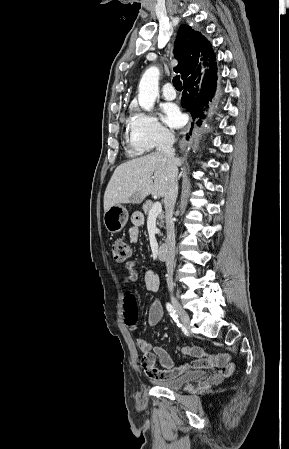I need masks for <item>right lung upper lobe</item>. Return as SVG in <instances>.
<instances>
[{
  "mask_svg": "<svg viewBox=\"0 0 289 449\" xmlns=\"http://www.w3.org/2000/svg\"><path fill=\"white\" fill-rule=\"evenodd\" d=\"M174 47L179 61L174 71L181 73L184 83L205 76L216 64L212 45L200 32L188 25L180 26Z\"/></svg>",
  "mask_w": 289,
  "mask_h": 449,
  "instance_id": "1",
  "label": "right lung upper lobe"
}]
</instances>
